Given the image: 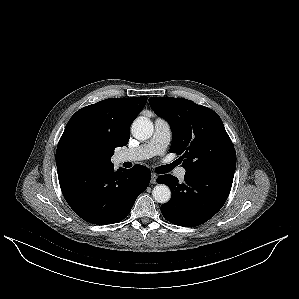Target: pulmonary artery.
Returning a JSON list of instances; mask_svg holds the SVG:
<instances>
[{
	"label": "pulmonary artery",
	"mask_w": 299,
	"mask_h": 299,
	"mask_svg": "<svg viewBox=\"0 0 299 299\" xmlns=\"http://www.w3.org/2000/svg\"><path fill=\"white\" fill-rule=\"evenodd\" d=\"M171 139L170 124L163 118H156L154 121V131L151 139L138 147L127 149L120 153L119 160L125 161H142L161 155L167 149ZM186 174L184 167L175 170V175L183 179Z\"/></svg>",
	"instance_id": "1"
}]
</instances>
